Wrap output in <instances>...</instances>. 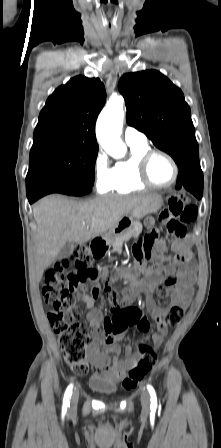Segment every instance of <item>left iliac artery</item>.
Listing matches in <instances>:
<instances>
[{
  "instance_id": "left-iliac-artery-1",
  "label": "left iliac artery",
  "mask_w": 221,
  "mask_h": 448,
  "mask_svg": "<svg viewBox=\"0 0 221 448\" xmlns=\"http://www.w3.org/2000/svg\"><path fill=\"white\" fill-rule=\"evenodd\" d=\"M147 389H148L149 394H150V402H151L150 409L151 410H156V408H157V396H156L155 390H154V388L151 385H147Z\"/></svg>"
}]
</instances>
